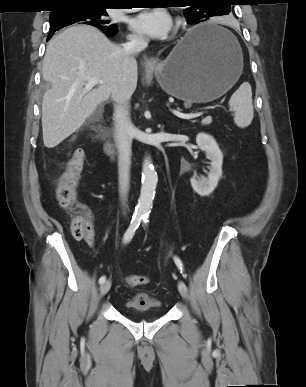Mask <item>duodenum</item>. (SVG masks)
Listing matches in <instances>:
<instances>
[{"instance_id":"410a0bca","label":"duodenum","mask_w":306,"mask_h":387,"mask_svg":"<svg viewBox=\"0 0 306 387\" xmlns=\"http://www.w3.org/2000/svg\"><path fill=\"white\" fill-rule=\"evenodd\" d=\"M105 152L108 156L111 158L115 157L116 150H115V145L112 141L111 135H108L106 143H105Z\"/></svg>"}]
</instances>
